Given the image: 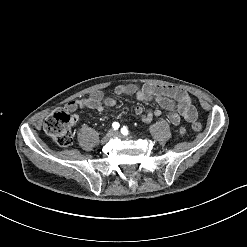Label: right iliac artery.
Listing matches in <instances>:
<instances>
[{
  "instance_id": "right-iliac-artery-1",
  "label": "right iliac artery",
  "mask_w": 247,
  "mask_h": 247,
  "mask_svg": "<svg viewBox=\"0 0 247 247\" xmlns=\"http://www.w3.org/2000/svg\"><path fill=\"white\" fill-rule=\"evenodd\" d=\"M112 127H113L114 130H118L119 127H120V124H119L118 122H114V123L112 124Z\"/></svg>"
}]
</instances>
